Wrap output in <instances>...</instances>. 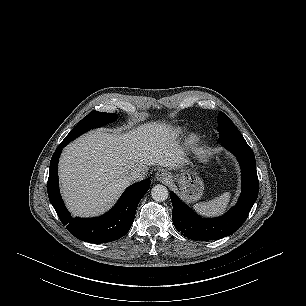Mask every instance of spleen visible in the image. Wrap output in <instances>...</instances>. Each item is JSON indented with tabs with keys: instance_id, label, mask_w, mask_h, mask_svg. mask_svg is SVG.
<instances>
[{
	"instance_id": "spleen-1",
	"label": "spleen",
	"mask_w": 306,
	"mask_h": 306,
	"mask_svg": "<svg viewBox=\"0 0 306 306\" xmlns=\"http://www.w3.org/2000/svg\"><path fill=\"white\" fill-rule=\"evenodd\" d=\"M230 197L231 194L226 192L208 202L197 203L194 205V209L197 213L204 216H217L226 210Z\"/></svg>"
}]
</instances>
